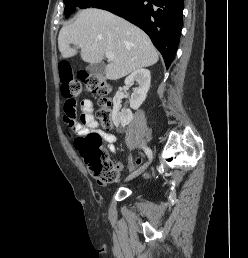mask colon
Returning a JSON list of instances; mask_svg holds the SVG:
<instances>
[{"instance_id": "colon-1", "label": "colon", "mask_w": 248, "mask_h": 258, "mask_svg": "<svg viewBox=\"0 0 248 258\" xmlns=\"http://www.w3.org/2000/svg\"><path fill=\"white\" fill-rule=\"evenodd\" d=\"M59 67L65 98L63 111L66 119L72 120L74 117L76 98L81 92L82 84H84L88 91L100 97L97 117L104 129H111V100L108 97L110 86L105 79L89 73H79L77 79H74L68 63L62 62ZM68 130L71 133L76 132L74 128H68ZM102 140L100 134L91 131L77 136L74 145L89 166L92 175L101 183H111L117 179L118 171L114 163L104 153ZM128 165L131 166L130 173L140 175V179H151L150 174H142L141 158H132Z\"/></svg>"}]
</instances>
